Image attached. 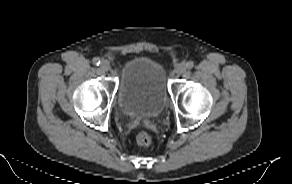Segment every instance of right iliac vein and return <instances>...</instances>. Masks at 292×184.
Wrapping results in <instances>:
<instances>
[{
	"instance_id": "63e3f726",
	"label": "right iliac vein",
	"mask_w": 292,
	"mask_h": 184,
	"mask_svg": "<svg viewBox=\"0 0 292 184\" xmlns=\"http://www.w3.org/2000/svg\"><path fill=\"white\" fill-rule=\"evenodd\" d=\"M100 67L104 71H108L110 69V63L107 60H102L100 63Z\"/></svg>"
}]
</instances>
